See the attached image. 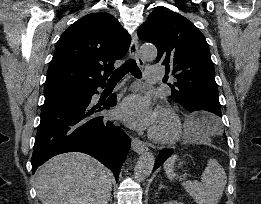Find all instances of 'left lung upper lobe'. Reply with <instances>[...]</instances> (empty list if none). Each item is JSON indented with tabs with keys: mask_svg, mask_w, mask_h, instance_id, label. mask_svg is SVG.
Returning a JSON list of instances; mask_svg holds the SVG:
<instances>
[{
	"mask_svg": "<svg viewBox=\"0 0 261 204\" xmlns=\"http://www.w3.org/2000/svg\"><path fill=\"white\" fill-rule=\"evenodd\" d=\"M138 36L157 47L156 62L176 78L170 84L172 99L188 111L207 112L221 124L214 65L200 30L176 12L155 9L139 27Z\"/></svg>",
	"mask_w": 261,
	"mask_h": 204,
	"instance_id": "5c2ea615",
	"label": "left lung upper lobe"
}]
</instances>
